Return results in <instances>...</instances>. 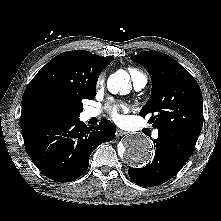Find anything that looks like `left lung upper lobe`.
<instances>
[{
  "mask_svg": "<svg viewBox=\"0 0 221 221\" xmlns=\"http://www.w3.org/2000/svg\"><path fill=\"white\" fill-rule=\"evenodd\" d=\"M131 59L149 72L152 92L140 115L161 131L198 139L203 126V100L194 77L170 56L144 51Z\"/></svg>",
  "mask_w": 221,
  "mask_h": 221,
  "instance_id": "obj_1",
  "label": "left lung upper lobe"
}]
</instances>
